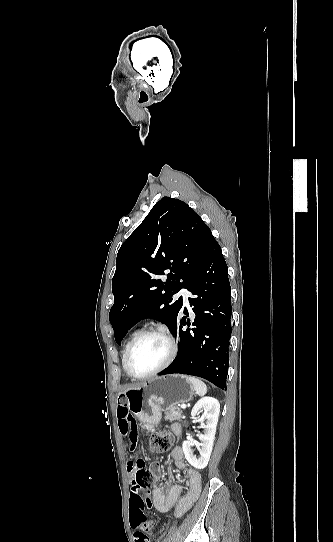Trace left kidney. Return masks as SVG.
<instances>
[{
  "label": "left kidney",
  "mask_w": 333,
  "mask_h": 542,
  "mask_svg": "<svg viewBox=\"0 0 333 542\" xmlns=\"http://www.w3.org/2000/svg\"><path fill=\"white\" fill-rule=\"evenodd\" d=\"M202 410H206L207 414L205 424H201V428H204V434L199 436L202 442L200 458H196V456H194L191 450L192 442H183L182 444V450L185 454L187 462H189L193 468H197V470H203V468H206L210 460L216 426L219 418L220 404L218 400H215V398H201V400L195 404L191 412L192 418H195V416H197L199 412H202Z\"/></svg>",
  "instance_id": "left-kidney-1"
}]
</instances>
